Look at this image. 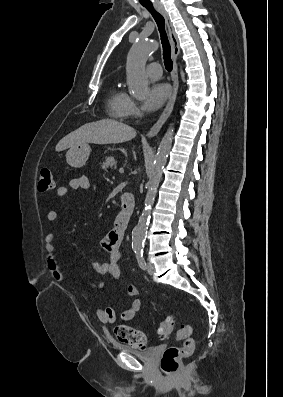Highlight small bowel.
<instances>
[{
	"label": "small bowel",
	"instance_id": "obj_1",
	"mask_svg": "<svg viewBox=\"0 0 283 397\" xmlns=\"http://www.w3.org/2000/svg\"><path fill=\"white\" fill-rule=\"evenodd\" d=\"M90 183L86 176H80L78 178L71 179L68 187L61 186L57 188L56 194L59 197H65L71 190H85L89 187ZM58 219V212L56 210H50L47 213V220L49 222H55ZM123 234L116 228L110 230L106 236L102 239V248L108 254V260L106 262H93L92 267L94 271L101 276H110L112 279L117 280L120 277V244L123 239ZM44 250L46 254V267L54 280L63 282L66 280H72L79 284L82 288L100 290L104 287V282H92L84 281L74 277L66 276L60 268V265L55 256V237L53 233L46 234L44 238ZM126 294L131 297L132 300L127 308H125L120 318L122 321H131L135 315L140 311L142 307V300L138 296L139 289L134 284H129L126 288ZM97 317L103 324H112L117 320V313L111 306H103L97 310Z\"/></svg>",
	"mask_w": 283,
	"mask_h": 397
}]
</instances>
